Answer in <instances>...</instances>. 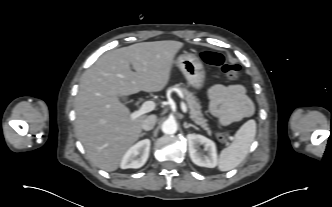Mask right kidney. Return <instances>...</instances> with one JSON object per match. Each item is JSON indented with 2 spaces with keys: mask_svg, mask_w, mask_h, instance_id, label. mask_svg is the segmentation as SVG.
Returning <instances> with one entry per match:
<instances>
[{
  "mask_svg": "<svg viewBox=\"0 0 332 207\" xmlns=\"http://www.w3.org/2000/svg\"><path fill=\"white\" fill-rule=\"evenodd\" d=\"M150 144L149 139H144L129 148L121 160L120 167L122 169L142 167L149 157Z\"/></svg>",
  "mask_w": 332,
  "mask_h": 207,
  "instance_id": "obj_1",
  "label": "right kidney"
}]
</instances>
